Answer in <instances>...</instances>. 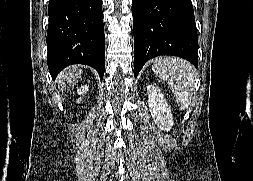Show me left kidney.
I'll return each instance as SVG.
<instances>
[{
	"label": "left kidney",
	"instance_id": "5707ae66",
	"mask_svg": "<svg viewBox=\"0 0 253 181\" xmlns=\"http://www.w3.org/2000/svg\"><path fill=\"white\" fill-rule=\"evenodd\" d=\"M147 94L150 113L154 122L161 130L170 131L173 126V116L163 93L158 87L148 85Z\"/></svg>",
	"mask_w": 253,
	"mask_h": 181
}]
</instances>
